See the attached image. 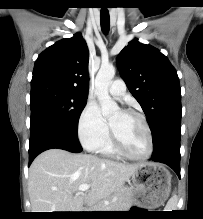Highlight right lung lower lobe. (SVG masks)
Here are the masks:
<instances>
[{
    "mask_svg": "<svg viewBox=\"0 0 203 219\" xmlns=\"http://www.w3.org/2000/svg\"><path fill=\"white\" fill-rule=\"evenodd\" d=\"M52 148L74 153L82 151L77 137L61 133L41 123L30 125L29 165L38 154Z\"/></svg>",
    "mask_w": 203,
    "mask_h": 219,
    "instance_id": "1",
    "label": "right lung lower lobe"
}]
</instances>
